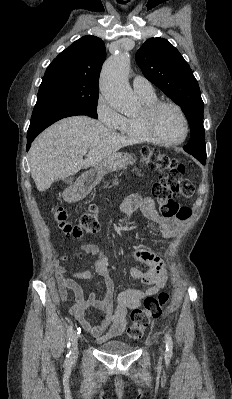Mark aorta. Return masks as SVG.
<instances>
[{
    "label": "aorta",
    "instance_id": "aorta-1",
    "mask_svg": "<svg viewBox=\"0 0 232 399\" xmlns=\"http://www.w3.org/2000/svg\"><path fill=\"white\" fill-rule=\"evenodd\" d=\"M130 55L127 52L110 57L103 65L100 76V91L115 110L134 111L139 103L129 82Z\"/></svg>",
    "mask_w": 232,
    "mask_h": 399
}]
</instances>
